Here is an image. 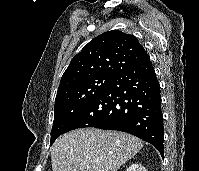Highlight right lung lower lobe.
I'll return each instance as SVG.
<instances>
[{
	"instance_id": "1",
	"label": "right lung lower lobe",
	"mask_w": 199,
	"mask_h": 171,
	"mask_svg": "<svg viewBox=\"0 0 199 171\" xmlns=\"http://www.w3.org/2000/svg\"><path fill=\"white\" fill-rule=\"evenodd\" d=\"M84 127L130 133L163 156L160 86L150 58L118 73L76 113L62 134Z\"/></svg>"
}]
</instances>
